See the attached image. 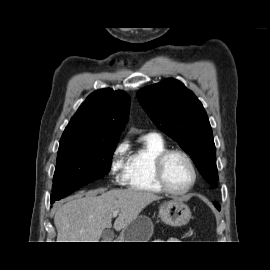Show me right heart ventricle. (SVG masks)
Masks as SVG:
<instances>
[{"label": "right heart ventricle", "instance_id": "right-heart-ventricle-1", "mask_svg": "<svg viewBox=\"0 0 270 270\" xmlns=\"http://www.w3.org/2000/svg\"><path fill=\"white\" fill-rule=\"evenodd\" d=\"M166 149L164 139L158 134L151 133L142 137L140 147L128 156L126 185L139 192L162 193L154 177L153 165L155 158Z\"/></svg>", "mask_w": 270, "mask_h": 270}]
</instances>
